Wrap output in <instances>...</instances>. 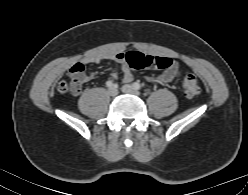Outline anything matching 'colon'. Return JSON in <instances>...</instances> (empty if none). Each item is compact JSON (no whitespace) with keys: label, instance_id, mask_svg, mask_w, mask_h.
Returning <instances> with one entry per match:
<instances>
[{"label":"colon","instance_id":"5ec220e1","mask_svg":"<svg viewBox=\"0 0 248 195\" xmlns=\"http://www.w3.org/2000/svg\"><path fill=\"white\" fill-rule=\"evenodd\" d=\"M120 58L124 64L132 69H143L155 67L158 69H168L172 65V60L167 57L147 55L140 52L123 53ZM84 69L77 67L69 72L68 79L62 80L58 84L60 93H78L84 81ZM183 91L188 99H193L200 93V86L197 77L192 73H187L183 79Z\"/></svg>","mask_w":248,"mask_h":195}]
</instances>
